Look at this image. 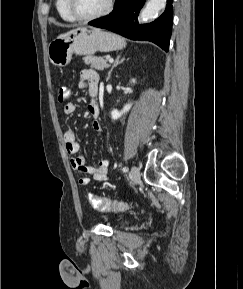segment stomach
<instances>
[{
  "mask_svg": "<svg viewBox=\"0 0 243 289\" xmlns=\"http://www.w3.org/2000/svg\"><path fill=\"white\" fill-rule=\"evenodd\" d=\"M125 40L101 29L78 28L53 40L48 46V58L54 66H67L72 55H93L95 52H110L123 49Z\"/></svg>",
  "mask_w": 243,
  "mask_h": 289,
  "instance_id": "0dacf381",
  "label": "stomach"
}]
</instances>
